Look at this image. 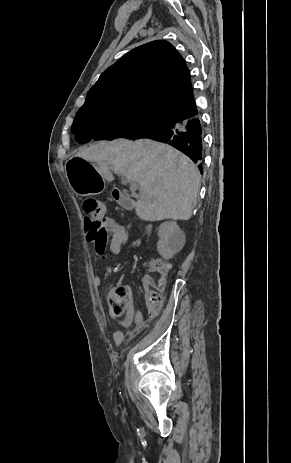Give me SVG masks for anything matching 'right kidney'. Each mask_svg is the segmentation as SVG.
Instances as JSON below:
<instances>
[{"label": "right kidney", "mask_w": 291, "mask_h": 463, "mask_svg": "<svg viewBox=\"0 0 291 463\" xmlns=\"http://www.w3.org/2000/svg\"><path fill=\"white\" fill-rule=\"evenodd\" d=\"M158 236L157 250L165 259H170L185 244V235L174 221L162 223L159 226Z\"/></svg>", "instance_id": "1"}]
</instances>
